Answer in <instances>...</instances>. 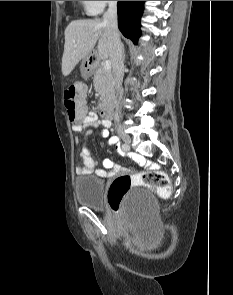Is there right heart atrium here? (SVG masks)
Here are the masks:
<instances>
[{"instance_id":"right-heart-atrium-1","label":"right heart atrium","mask_w":233,"mask_h":295,"mask_svg":"<svg viewBox=\"0 0 233 295\" xmlns=\"http://www.w3.org/2000/svg\"><path fill=\"white\" fill-rule=\"evenodd\" d=\"M85 10L90 15L101 13L107 5L113 4L116 1H83Z\"/></svg>"}]
</instances>
